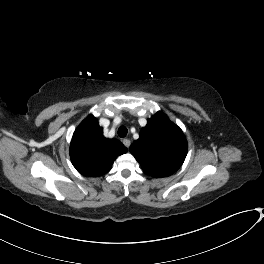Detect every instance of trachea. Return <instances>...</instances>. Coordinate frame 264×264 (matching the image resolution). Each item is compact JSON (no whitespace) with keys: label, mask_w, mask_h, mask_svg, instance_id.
Segmentation results:
<instances>
[{"label":"trachea","mask_w":264,"mask_h":264,"mask_svg":"<svg viewBox=\"0 0 264 264\" xmlns=\"http://www.w3.org/2000/svg\"><path fill=\"white\" fill-rule=\"evenodd\" d=\"M127 133H128V130H127V128L124 127V126H121V127L118 129V135H119V137H121V138H124V137L127 135Z\"/></svg>","instance_id":"obj_1"}]
</instances>
